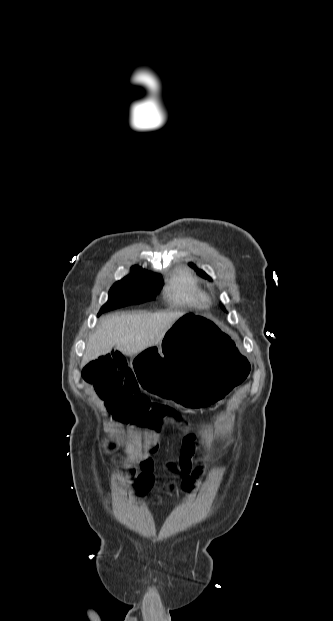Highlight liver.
Wrapping results in <instances>:
<instances>
[{
  "instance_id": "liver-1",
  "label": "liver",
  "mask_w": 333,
  "mask_h": 621,
  "mask_svg": "<svg viewBox=\"0 0 333 621\" xmlns=\"http://www.w3.org/2000/svg\"><path fill=\"white\" fill-rule=\"evenodd\" d=\"M182 312L122 313L104 316L90 334L81 365L106 355L113 347L127 356H135L158 345Z\"/></svg>"
}]
</instances>
